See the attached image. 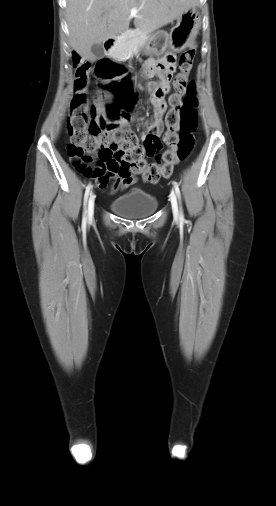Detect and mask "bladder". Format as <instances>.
<instances>
[{"instance_id":"bladder-1","label":"bladder","mask_w":276,"mask_h":506,"mask_svg":"<svg viewBox=\"0 0 276 506\" xmlns=\"http://www.w3.org/2000/svg\"><path fill=\"white\" fill-rule=\"evenodd\" d=\"M155 196L144 191L130 192L110 201V208L128 218H142L151 215L158 208Z\"/></svg>"}]
</instances>
